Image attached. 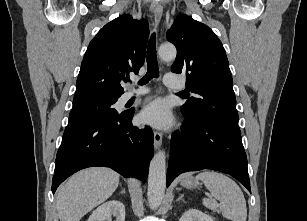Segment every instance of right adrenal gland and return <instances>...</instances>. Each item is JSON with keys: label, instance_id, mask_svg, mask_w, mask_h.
I'll use <instances>...</instances> for the list:
<instances>
[{"label": "right adrenal gland", "instance_id": "obj_1", "mask_svg": "<svg viewBox=\"0 0 307 221\" xmlns=\"http://www.w3.org/2000/svg\"><path fill=\"white\" fill-rule=\"evenodd\" d=\"M122 193H125V189L122 190Z\"/></svg>", "mask_w": 307, "mask_h": 221}]
</instances>
